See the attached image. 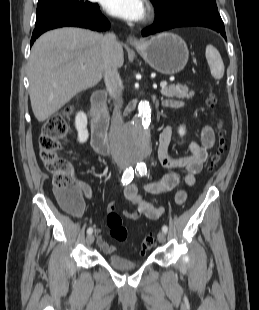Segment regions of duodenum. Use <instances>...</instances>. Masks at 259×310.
<instances>
[{"label":"duodenum","mask_w":259,"mask_h":310,"mask_svg":"<svg viewBox=\"0 0 259 310\" xmlns=\"http://www.w3.org/2000/svg\"><path fill=\"white\" fill-rule=\"evenodd\" d=\"M107 94L103 91L96 92L92 97V131L91 145L98 154H108L110 146L108 143L109 118L106 110Z\"/></svg>","instance_id":"410a0bca"}]
</instances>
